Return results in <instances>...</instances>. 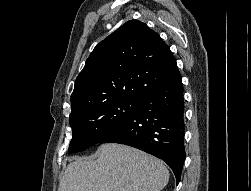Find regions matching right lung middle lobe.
<instances>
[{
  "instance_id": "obj_1",
  "label": "right lung middle lobe",
  "mask_w": 251,
  "mask_h": 191,
  "mask_svg": "<svg viewBox=\"0 0 251 191\" xmlns=\"http://www.w3.org/2000/svg\"><path fill=\"white\" fill-rule=\"evenodd\" d=\"M138 107L136 101L114 100L72 109L69 123L73 130L69 153H76L99 143L124 122Z\"/></svg>"
}]
</instances>
